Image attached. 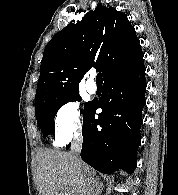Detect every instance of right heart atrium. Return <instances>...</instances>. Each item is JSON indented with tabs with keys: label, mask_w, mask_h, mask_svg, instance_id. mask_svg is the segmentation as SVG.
Wrapping results in <instances>:
<instances>
[{
	"label": "right heart atrium",
	"mask_w": 178,
	"mask_h": 195,
	"mask_svg": "<svg viewBox=\"0 0 178 195\" xmlns=\"http://www.w3.org/2000/svg\"><path fill=\"white\" fill-rule=\"evenodd\" d=\"M82 115L80 104L69 100L64 102L55 115V140L57 145H64L80 136Z\"/></svg>",
	"instance_id": "1"
}]
</instances>
